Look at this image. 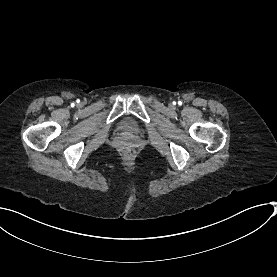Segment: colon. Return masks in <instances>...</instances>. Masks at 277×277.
Returning a JSON list of instances; mask_svg holds the SVG:
<instances>
[{
  "instance_id": "5ec220e1",
  "label": "colon",
  "mask_w": 277,
  "mask_h": 277,
  "mask_svg": "<svg viewBox=\"0 0 277 277\" xmlns=\"http://www.w3.org/2000/svg\"><path fill=\"white\" fill-rule=\"evenodd\" d=\"M123 154L127 160L133 161L139 157L140 151L136 145L130 144L124 148Z\"/></svg>"
}]
</instances>
